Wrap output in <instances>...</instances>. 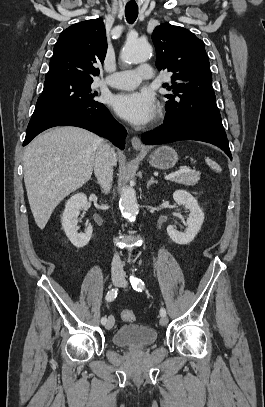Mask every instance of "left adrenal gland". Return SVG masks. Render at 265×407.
<instances>
[{
    "label": "left adrenal gland",
    "mask_w": 265,
    "mask_h": 407,
    "mask_svg": "<svg viewBox=\"0 0 265 407\" xmlns=\"http://www.w3.org/2000/svg\"><path fill=\"white\" fill-rule=\"evenodd\" d=\"M154 183H157V181L154 180V177H153V176H151L150 180H149L148 183H147V189H149V187H150L152 184H154Z\"/></svg>",
    "instance_id": "a2214340"
}]
</instances>
